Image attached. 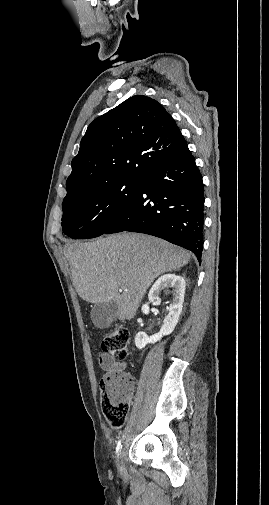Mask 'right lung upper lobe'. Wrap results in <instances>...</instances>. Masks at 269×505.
<instances>
[{"mask_svg":"<svg viewBox=\"0 0 269 505\" xmlns=\"http://www.w3.org/2000/svg\"><path fill=\"white\" fill-rule=\"evenodd\" d=\"M186 147L174 119L159 102L143 95L130 97L88 126L71 163L64 200L97 185L139 180Z\"/></svg>","mask_w":269,"mask_h":505,"instance_id":"1","label":"right lung upper lobe"}]
</instances>
